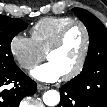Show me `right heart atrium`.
Wrapping results in <instances>:
<instances>
[{"instance_id": "1", "label": "right heart atrium", "mask_w": 107, "mask_h": 107, "mask_svg": "<svg viewBox=\"0 0 107 107\" xmlns=\"http://www.w3.org/2000/svg\"><path fill=\"white\" fill-rule=\"evenodd\" d=\"M9 49L15 61L24 70L33 69L44 58V53L34 40L22 33L11 38Z\"/></svg>"}]
</instances>
